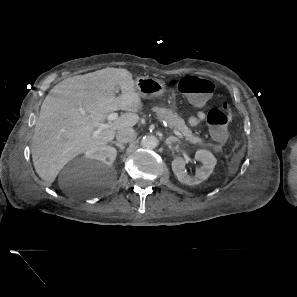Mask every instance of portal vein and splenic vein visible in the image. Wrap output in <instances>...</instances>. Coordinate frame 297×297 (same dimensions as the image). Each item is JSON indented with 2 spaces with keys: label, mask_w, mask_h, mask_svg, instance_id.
<instances>
[{
  "label": "portal vein and splenic vein",
  "mask_w": 297,
  "mask_h": 297,
  "mask_svg": "<svg viewBox=\"0 0 297 297\" xmlns=\"http://www.w3.org/2000/svg\"><path fill=\"white\" fill-rule=\"evenodd\" d=\"M117 118H118V114H117V113H110V114L108 115V117H107V119H108V124H101V125L99 126L98 130L95 131V133H94L93 136H94V137L97 136V135L100 133L101 130H103V129H105L106 127L110 126L111 122H112L113 120L117 119ZM173 132H174V134L177 135L179 138H181V139L183 138V135H182L178 130L173 129Z\"/></svg>",
  "instance_id": "1"
}]
</instances>
